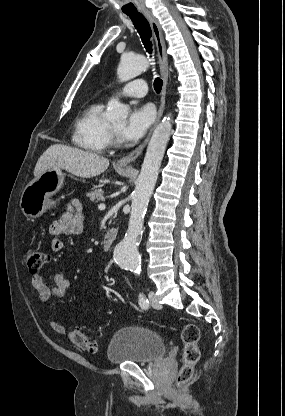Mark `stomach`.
<instances>
[{
	"label": "stomach",
	"mask_w": 285,
	"mask_h": 416,
	"mask_svg": "<svg viewBox=\"0 0 285 416\" xmlns=\"http://www.w3.org/2000/svg\"><path fill=\"white\" fill-rule=\"evenodd\" d=\"M64 178L61 170H47L34 178L21 196L20 208L24 216L40 218L47 210L56 208L58 200H54V196L63 188Z\"/></svg>",
	"instance_id": "stomach-1"
}]
</instances>
